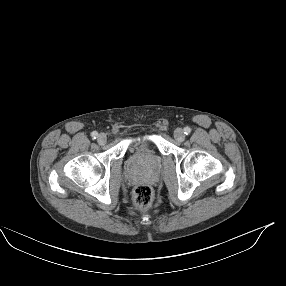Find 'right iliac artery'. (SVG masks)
Segmentation results:
<instances>
[{
    "label": "right iliac artery",
    "mask_w": 286,
    "mask_h": 286,
    "mask_svg": "<svg viewBox=\"0 0 286 286\" xmlns=\"http://www.w3.org/2000/svg\"><path fill=\"white\" fill-rule=\"evenodd\" d=\"M91 136H92L93 139H96L98 137V133L96 131H93L91 133Z\"/></svg>",
    "instance_id": "1"
}]
</instances>
